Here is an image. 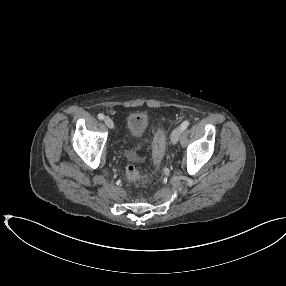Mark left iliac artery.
Here are the masks:
<instances>
[{
	"instance_id": "44dca946",
	"label": "left iliac artery",
	"mask_w": 286,
	"mask_h": 286,
	"mask_svg": "<svg viewBox=\"0 0 286 286\" xmlns=\"http://www.w3.org/2000/svg\"><path fill=\"white\" fill-rule=\"evenodd\" d=\"M189 124L190 123L188 120H185L184 122H182V124H181L182 131H184L189 126Z\"/></svg>"
}]
</instances>
